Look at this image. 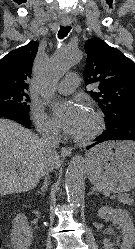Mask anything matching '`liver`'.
I'll list each match as a JSON object with an SVG mask.
<instances>
[{
  "mask_svg": "<svg viewBox=\"0 0 135 249\" xmlns=\"http://www.w3.org/2000/svg\"><path fill=\"white\" fill-rule=\"evenodd\" d=\"M53 161L41 138L20 124L0 118V196L33 189Z\"/></svg>",
  "mask_w": 135,
  "mask_h": 249,
  "instance_id": "1",
  "label": "liver"
}]
</instances>
